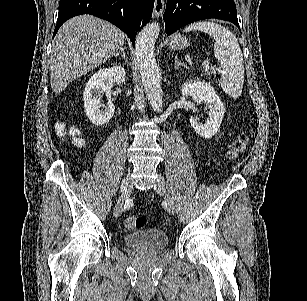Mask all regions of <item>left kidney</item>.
Segmentation results:
<instances>
[{"mask_svg": "<svg viewBox=\"0 0 307 301\" xmlns=\"http://www.w3.org/2000/svg\"><path fill=\"white\" fill-rule=\"evenodd\" d=\"M183 96H192L194 102H205L208 106V118L205 124L199 122L197 116H190V124L202 138H212L220 128L225 108L216 90L205 80H186L181 86Z\"/></svg>", "mask_w": 307, "mask_h": 301, "instance_id": "obj_1", "label": "left kidney"}]
</instances>
